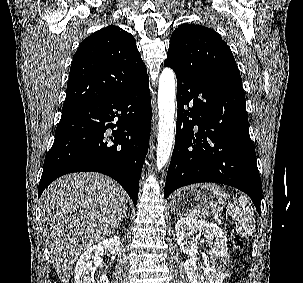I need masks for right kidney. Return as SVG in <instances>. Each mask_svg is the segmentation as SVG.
Segmentation results:
<instances>
[{
	"mask_svg": "<svg viewBox=\"0 0 303 283\" xmlns=\"http://www.w3.org/2000/svg\"><path fill=\"white\" fill-rule=\"evenodd\" d=\"M120 249L119 236H113L108 239H104L97 245L91 246L89 249L79 257L76 267L74 279L75 283H93V275L99 264L100 255L104 250L108 251L113 257L117 255ZM107 276L100 277L97 283H108Z\"/></svg>",
	"mask_w": 303,
	"mask_h": 283,
	"instance_id": "1",
	"label": "right kidney"
}]
</instances>
